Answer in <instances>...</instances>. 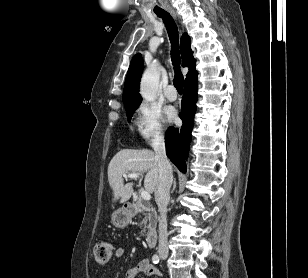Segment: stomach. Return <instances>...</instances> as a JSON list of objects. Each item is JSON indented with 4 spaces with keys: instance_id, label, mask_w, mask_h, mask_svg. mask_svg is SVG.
<instances>
[{
    "instance_id": "0dacf381",
    "label": "stomach",
    "mask_w": 308,
    "mask_h": 278,
    "mask_svg": "<svg viewBox=\"0 0 308 278\" xmlns=\"http://www.w3.org/2000/svg\"><path fill=\"white\" fill-rule=\"evenodd\" d=\"M111 219L115 227L123 228L127 226L130 221V211L122 207L113 212Z\"/></svg>"
}]
</instances>
